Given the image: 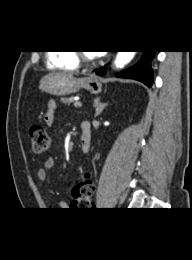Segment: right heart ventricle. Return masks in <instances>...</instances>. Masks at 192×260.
I'll return each mask as SVG.
<instances>
[{
	"label": "right heart ventricle",
	"mask_w": 192,
	"mask_h": 260,
	"mask_svg": "<svg viewBox=\"0 0 192 260\" xmlns=\"http://www.w3.org/2000/svg\"><path fill=\"white\" fill-rule=\"evenodd\" d=\"M49 66L62 70H76L79 61L73 51L52 52L48 55Z\"/></svg>",
	"instance_id": "right-heart-ventricle-1"
}]
</instances>
